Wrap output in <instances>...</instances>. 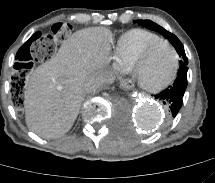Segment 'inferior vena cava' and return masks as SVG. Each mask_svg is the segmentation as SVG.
I'll return each mask as SVG.
<instances>
[{
    "instance_id": "602c4592",
    "label": "inferior vena cava",
    "mask_w": 215,
    "mask_h": 183,
    "mask_svg": "<svg viewBox=\"0 0 215 183\" xmlns=\"http://www.w3.org/2000/svg\"><path fill=\"white\" fill-rule=\"evenodd\" d=\"M110 78V76H99L95 80H89L83 84V89L86 93L95 92Z\"/></svg>"
}]
</instances>
